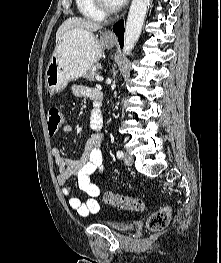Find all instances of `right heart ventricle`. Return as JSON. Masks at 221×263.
I'll list each match as a JSON object with an SVG mask.
<instances>
[{"label":"right heart ventricle","mask_w":221,"mask_h":263,"mask_svg":"<svg viewBox=\"0 0 221 263\" xmlns=\"http://www.w3.org/2000/svg\"><path fill=\"white\" fill-rule=\"evenodd\" d=\"M78 11L87 19L93 21H103L105 15L102 14L93 4L92 0H75Z\"/></svg>","instance_id":"1"}]
</instances>
